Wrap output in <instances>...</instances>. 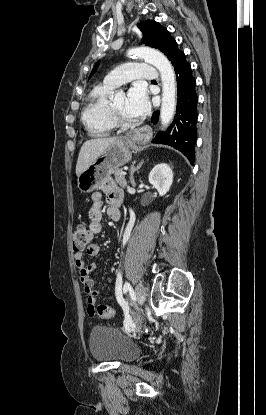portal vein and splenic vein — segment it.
<instances>
[{
  "instance_id": "18ae733b",
  "label": "portal vein and splenic vein",
  "mask_w": 266,
  "mask_h": 415,
  "mask_svg": "<svg viewBox=\"0 0 266 415\" xmlns=\"http://www.w3.org/2000/svg\"><path fill=\"white\" fill-rule=\"evenodd\" d=\"M122 175H126V172H122Z\"/></svg>"
}]
</instances>
